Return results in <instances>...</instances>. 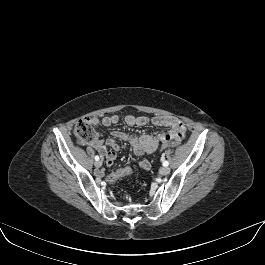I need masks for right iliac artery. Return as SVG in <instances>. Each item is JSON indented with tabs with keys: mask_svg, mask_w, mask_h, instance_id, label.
Returning <instances> with one entry per match:
<instances>
[{
	"mask_svg": "<svg viewBox=\"0 0 265 265\" xmlns=\"http://www.w3.org/2000/svg\"><path fill=\"white\" fill-rule=\"evenodd\" d=\"M95 160H96V161L99 160V156H98V155L95 156Z\"/></svg>",
	"mask_w": 265,
	"mask_h": 265,
	"instance_id": "82829eb1",
	"label": "right iliac artery"
}]
</instances>
